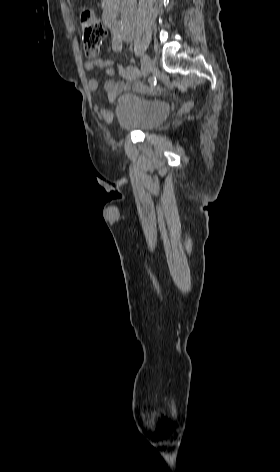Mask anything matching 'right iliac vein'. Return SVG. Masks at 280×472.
Returning a JSON list of instances; mask_svg holds the SVG:
<instances>
[{"label":"right iliac vein","instance_id":"63e3f726","mask_svg":"<svg viewBox=\"0 0 280 472\" xmlns=\"http://www.w3.org/2000/svg\"><path fill=\"white\" fill-rule=\"evenodd\" d=\"M141 65H142V70H141L142 75L143 77H147L149 73L153 70L154 63L149 56L143 55L141 58Z\"/></svg>","mask_w":280,"mask_h":472}]
</instances>
